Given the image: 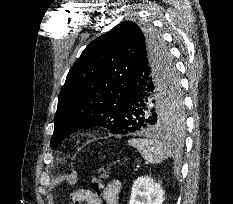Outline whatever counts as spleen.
<instances>
[{
	"label": "spleen",
	"instance_id": "spleen-1",
	"mask_svg": "<svg viewBox=\"0 0 233 204\" xmlns=\"http://www.w3.org/2000/svg\"><path fill=\"white\" fill-rule=\"evenodd\" d=\"M128 144L136 148L142 157L151 164H158L162 161L173 157L176 155V152L173 150V147L161 143L154 139H130Z\"/></svg>",
	"mask_w": 233,
	"mask_h": 204
}]
</instances>
